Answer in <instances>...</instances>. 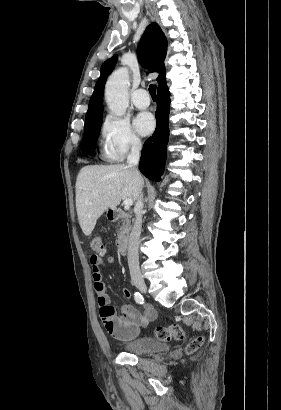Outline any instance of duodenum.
<instances>
[{
	"instance_id": "obj_1",
	"label": "duodenum",
	"mask_w": 281,
	"mask_h": 410,
	"mask_svg": "<svg viewBox=\"0 0 281 410\" xmlns=\"http://www.w3.org/2000/svg\"><path fill=\"white\" fill-rule=\"evenodd\" d=\"M123 212L118 210V209H113L110 212V219L112 221L118 220L119 218H121L123 216ZM119 251L122 255H126L128 252V237L127 236H122L119 240Z\"/></svg>"
}]
</instances>
